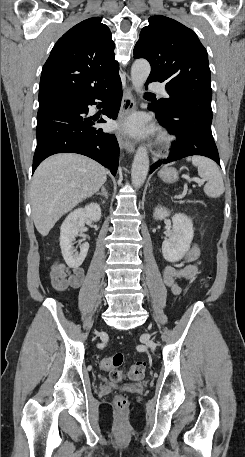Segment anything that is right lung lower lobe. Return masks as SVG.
<instances>
[{"mask_svg":"<svg viewBox=\"0 0 245 457\" xmlns=\"http://www.w3.org/2000/svg\"><path fill=\"white\" fill-rule=\"evenodd\" d=\"M122 99L120 77L88 94L57 101L40 107L37 114V147L33 158V172L48 156L56 153L86 155L116 175L119 146L115 135L95 128L104 119L86 117L88 106L101 100L103 114L116 119Z\"/></svg>","mask_w":245,"mask_h":457,"instance_id":"98d812e1","label":"right lung lower lobe"}]
</instances>
